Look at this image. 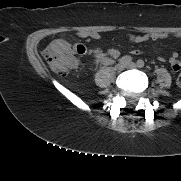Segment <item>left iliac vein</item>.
Here are the masks:
<instances>
[{"instance_id":"obj_1","label":"left iliac vein","mask_w":181,"mask_h":181,"mask_svg":"<svg viewBox=\"0 0 181 181\" xmlns=\"http://www.w3.org/2000/svg\"><path fill=\"white\" fill-rule=\"evenodd\" d=\"M126 67H127V68H135V67H137V65H136L135 63L131 62V63H128V64L126 65Z\"/></svg>"}]
</instances>
